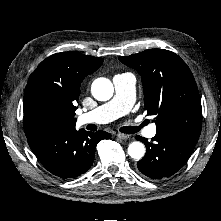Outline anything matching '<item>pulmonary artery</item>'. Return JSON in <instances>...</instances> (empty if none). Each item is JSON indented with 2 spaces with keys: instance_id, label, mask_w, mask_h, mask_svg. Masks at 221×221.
Wrapping results in <instances>:
<instances>
[{
  "instance_id": "pulmonary-artery-1",
  "label": "pulmonary artery",
  "mask_w": 221,
  "mask_h": 221,
  "mask_svg": "<svg viewBox=\"0 0 221 221\" xmlns=\"http://www.w3.org/2000/svg\"><path fill=\"white\" fill-rule=\"evenodd\" d=\"M113 84L115 95L112 100L80 115L78 117L80 125L107 123L125 115L130 110L135 99V77L131 73L119 74L113 78ZM144 134L150 138L154 137L156 135L155 124L148 126Z\"/></svg>"
}]
</instances>
